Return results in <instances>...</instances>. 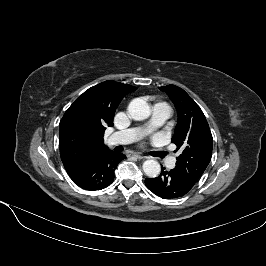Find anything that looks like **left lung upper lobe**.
<instances>
[{"instance_id":"1","label":"left lung upper lobe","mask_w":266,"mask_h":266,"mask_svg":"<svg viewBox=\"0 0 266 266\" xmlns=\"http://www.w3.org/2000/svg\"><path fill=\"white\" fill-rule=\"evenodd\" d=\"M171 98L178 113L172 143L181 154L173 169L192 186L199 180L208 166L213 147V138L207 120L195 101L180 87H159Z\"/></svg>"}]
</instances>
